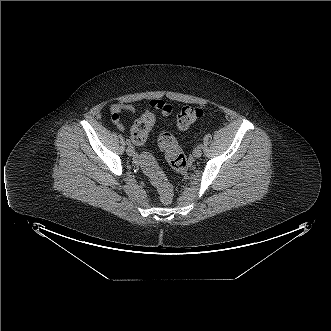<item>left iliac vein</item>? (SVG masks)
Returning <instances> with one entry per match:
<instances>
[{"label":"left iliac vein","mask_w":331,"mask_h":331,"mask_svg":"<svg viewBox=\"0 0 331 331\" xmlns=\"http://www.w3.org/2000/svg\"><path fill=\"white\" fill-rule=\"evenodd\" d=\"M201 155H202L201 148L196 147V148L193 150V156H194L195 158H199Z\"/></svg>","instance_id":"4c4485c4"}]
</instances>
